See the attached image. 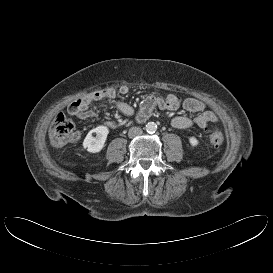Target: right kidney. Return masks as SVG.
<instances>
[{
	"mask_svg": "<svg viewBox=\"0 0 273 273\" xmlns=\"http://www.w3.org/2000/svg\"><path fill=\"white\" fill-rule=\"evenodd\" d=\"M109 129L106 126L100 125L92 129L83 141V147L90 153L100 152L107 139ZM95 134V136H93Z\"/></svg>",
	"mask_w": 273,
	"mask_h": 273,
	"instance_id": "right-kidney-1",
	"label": "right kidney"
}]
</instances>
